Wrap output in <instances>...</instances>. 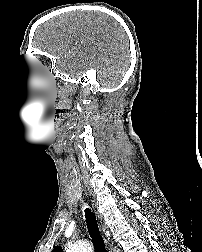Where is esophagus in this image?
<instances>
[{
  "label": "esophagus",
  "instance_id": "1",
  "mask_svg": "<svg viewBox=\"0 0 202 252\" xmlns=\"http://www.w3.org/2000/svg\"><path fill=\"white\" fill-rule=\"evenodd\" d=\"M93 210L95 212V215H96V218H97V221H98V225H99V229H100V232L104 238V241L106 243V245H110V235L106 229V226L104 224V221H103V216L101 215V213L98 211V208H97V205L93 203Z\"/></svg>",
  "mask_w": 202,
  "mask_h": 252
}]
</instances>
